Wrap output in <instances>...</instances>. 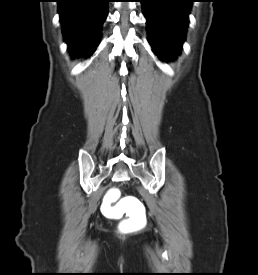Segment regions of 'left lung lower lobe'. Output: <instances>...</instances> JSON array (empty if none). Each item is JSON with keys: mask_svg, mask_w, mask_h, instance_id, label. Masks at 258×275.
Segmentation results:
<instances>
[{"mask_svg": "<svg viewBox=\"0 0 258 275\" xmlns=\"http://www.w3.org/2000/svg\"><path fill=\"white\" fill-rule=\"evenodd\" d=\"M193 0H141L149 43L160 60L176 57L185 40Z\"/></svg>", "mask_w": 258, "mask_h": 275, "instance_id": "left-lung-lower-lobe-1", "label": "left lung lower lobe"}]
</instances>
